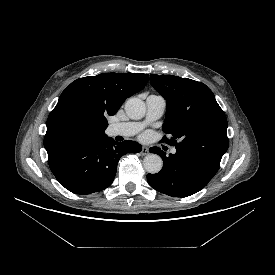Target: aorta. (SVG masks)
Masks as SVG:
<instances>
[{"mask_svg": "<svg viewBox=\"0 0 275 275\" xmlns=\"http://www.w3.org/2000/svg\"><path fill=\"white\" fill-rule=\"evenodd\" d=\"M125 111L131 119L138 120L144 117L146 106L141 99L134 97L126 101ZM143 166L148 173L156 174L162 169L163 161L157 154H148L143 160Z\"/></svg>", "mask_w": 275, "mask_h": 275, "instance_id": "762f6f07", "label": "aorta"}]
</instances>
